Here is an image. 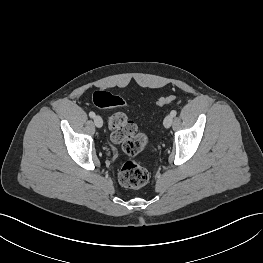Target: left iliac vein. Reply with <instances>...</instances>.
Instances as JSON below:
<instances>
[{
	"mask_svg": "<svg viewBox=\"0 0 263 263\" xmlns=\"http://www.w3.org/2000/svg\"><path fill=\"white\" fill-rule=\"evenodd\" d=\"M173 117L171 115H167L164 118L163 124L166 128H169L172 125Z\"/></svg>",
	"mask_w": 263,
	"mask_h": 263,
	"instance_id": "4c4485c4",
	"label": "left iliac vein"
}]
</instances>
